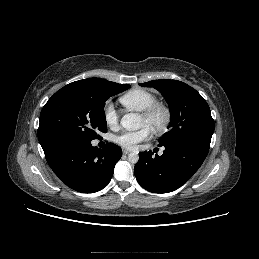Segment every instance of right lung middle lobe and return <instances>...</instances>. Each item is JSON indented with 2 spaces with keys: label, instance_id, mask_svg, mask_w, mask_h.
<instances>
[{
  "label": "right lung middle lobe",
  "instance_id": "dd1d6c3e",
  "mask_svg": "<svg viewBox=\"0 0 259 259\" xmlns=\"http://www.w3.org/2000/svg\"><path fill=\"white\" fill-rule=\"evenodd\" d=\"M130 85L106 81L99 85L68 84L57 91L40 114L38 139L41 145L56 138L93 140L107 131L106 100Z\"/></svg>",
  "mask_w": 259,
  "mask_h": 259
}]
</instances>
